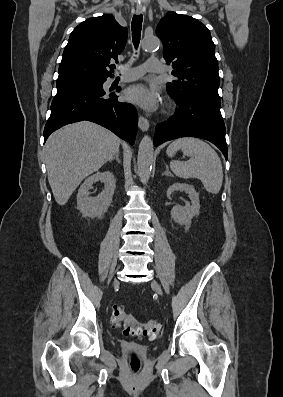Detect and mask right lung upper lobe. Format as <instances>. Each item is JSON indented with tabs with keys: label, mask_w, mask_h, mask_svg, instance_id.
Segmentation results:
<instances>
[{
	"label": "right lung upper lobe",
	"mask_w": 283,
	"mask_h": 397,
	"mask_svg": "<svg viewBox=\"0 0 283 397\" xmlns=\"http://www.w3.org/2000/svg\"><path fill=\"white\" fill-rule=\"evenodd\" d=\"M127 41V28L112 15L89 18L71 33L59 66L57 81L111 77L110 60H118Z\"/></svg>",
	"instance_id": "right-lung-upper-lobe-1"
}]
</instances>
